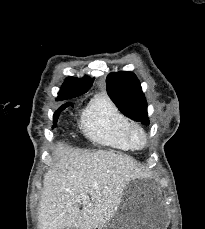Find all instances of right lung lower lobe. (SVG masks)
I'll return each mask as SVG.
<instances>
[{"label":"right lung lower lobe","instance_id":"right-lung-lower-lobe-1","mask_svg":"<svg viewBox=\"0 0 205 229\" xmlns=\"http://www.w3.org/2000/svg\"><path fill=\"white\" fill-rule=\"evenodd\" d=\"M69 105L73 106L71 103H67V104H64L62 105L54 114V125L56 126V123H57V119H58V116L60 114L61 111H63L66 106L68 107ZM54 127V126H53Z\"/></svg>","mask_w":205,"mask_h":229}]
</instances>
